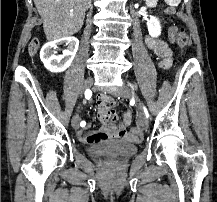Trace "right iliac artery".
<instances>
[{"label": "right iliac artery", "mask_w": 217, "mask_h": 202, "mask_svg": "<svg viewBox=\"0 0 217 202\" xmlns=\"http://www.w3.org/2000/svg\"><path fill=\"white\" fill-rule=\"evenodd\" d=\"M91 96H92V92H91V90H89V89H87L86 91H85V98H86V100L89 102L91 99ZM86 125V122L85 121H81V123H80V126L81 127H84Z\"/></svg>", "instance_id": "obj_1"}]
</instances>
